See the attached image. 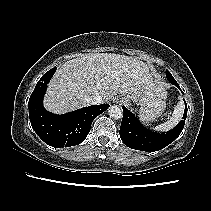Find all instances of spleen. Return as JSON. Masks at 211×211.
<instances>
[{"label": "spleen", "mask_w": 211, "mask_h": 211, "mask_svg": "<svg viewBox=\"0 0 211 211\" xmlns=\"http://www.w3.org/2000/svg\"><path fill=\"white\" fill-rule=\"evenodd\" d=\"M184 112V104L182 101L178 102V104L175 106L174 111L172 113V116L168 121H166L163 124H160L156 126L154 129L156 131H168L175 127L179 121L181 120Z\"/></svg>", "instance_id": "1"}]
</instances>
